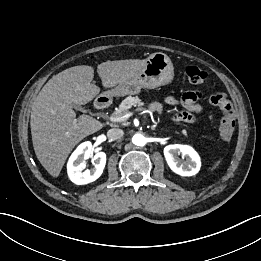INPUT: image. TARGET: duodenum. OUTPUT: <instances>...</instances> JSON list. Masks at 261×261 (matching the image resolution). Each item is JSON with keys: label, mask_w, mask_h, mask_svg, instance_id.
<instances>
[{"label": "duodenum", "mask_w": 261, "mask_h": 261, "mask_svg": "<svg viewBox=\"0 0 261 261\" xmlns=\"http://www.w3.org/2000/svg\"><path fill=\"white\" fill-rule=\"evenodd\" d=\"M110 104V100L106 97H99L97 98V100L95 101V106L98 109H104L107 108Z\"/></svg>", "instance_id": "obj_1"}]
</instances>
